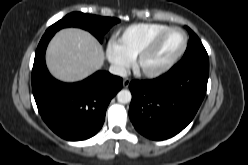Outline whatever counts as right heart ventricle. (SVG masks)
I'll use <instances>...</instances> for the list:
<instances>
[{"label": "right heart ventricle", "mask_w": 248, "mask_h": 165, "mask_svg": "<svg viewBox=\"0 0 248 165\" xmlns=\"http://www.w3.org/2000/svg\"><path fill=\"white\" fill-rule=\"evenodd\" d=\"M167 27L159 23L132 24L119 31L116 43L130 59H133L155 34Z\"/></svg>", "instance_id": "e07e8e85"}]
</instances>
